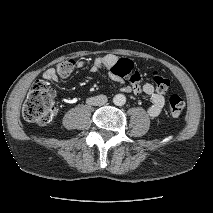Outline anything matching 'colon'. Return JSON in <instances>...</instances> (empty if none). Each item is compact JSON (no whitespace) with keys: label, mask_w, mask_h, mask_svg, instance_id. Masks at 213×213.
<instances>
[{"label":"colon","mask_w":213,"mask_h":213,"mask_svg":"<svg viewBox=\"0 0 213 213\" xmlns=\"http://www.w3.org/2000/svg\"><path fill=\"white\" fill-rule=\"evenodd\" d=\"M55 68L60 76L66 77L72 72L74 62L65 60L57 63ZM133 70L134 64L131 60L119 59L113 66L112 73L117 77L127 78ZM152 79L158 92L164 93L169 89L170 80L159 71L152 73ZM184 107L185 103L179 95L172 94L169 97V110L172 115L179 116ZM57 111L54 90L43 80L34 82L22 108L23 119L29 123L49 125L55 120Z\"/></svg>","instance_id":"1"}]
</instances>
